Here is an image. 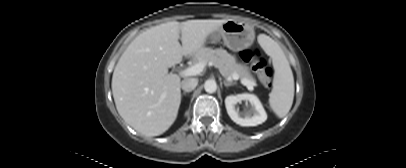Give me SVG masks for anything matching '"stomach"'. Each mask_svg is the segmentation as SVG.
Segmentation results:
<instances>
[{
    "label": "stomach",
    "mask_w": 406,
    "mask_h": 168,
    "mask_svg": "<svg viewBox=\"0 0 406 168\" xmlns=\"http://www.w3.org/2000/svg\"><path fill=\"white\" fill-rule=\"evenodd\" d=\"M221 38L230 50L241 51L253 44L255 32L251 25L230 19L209 35L212 43L218 42Z\"/></svg>",
    "instance_id": "0dacf381"
}]
</instances>
